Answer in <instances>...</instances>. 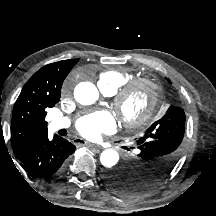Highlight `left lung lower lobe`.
I'll list each match as a JSON object with an SVG mask.
<instances>
[{"mask_svg": "<svg viewBox=\"0 0 216 216\" xmlns=\"http://www.w3.org/2000/svg\"><path fill=\"white\" fill-rule=\"evenodd\" d=\"M125 163H126V162L123 163V165L120 167L119 170L107 172L106 175H105L104 178H103L104 182H105L111 189H113L115 192H117V190H115V189L113 188V186L109 184V181H110L111 179H115V178L119 177L120 175H122L123 173H125V171H126V168L124 167V166H125ZM117 193H119V192H117ZM119 194H120V193H119Z\"/></svg>", "mask_w": 216, "mask_h": 216, "instance_id": "left-lung-lower-lobe-1", "label": "left lung lower lobe"}]
</instances>
